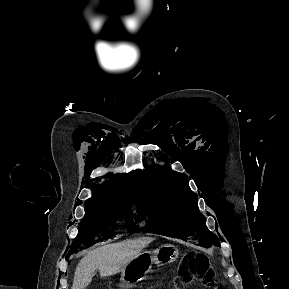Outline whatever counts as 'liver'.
Segmentation results:
<instances>
[{"instance_id": "obj_1", "label": "liver", "mask_w": 289, "mask_h": 289, "mask_svg": "<svg viewBox=\"0 0 289 289\" xmlns=\"http://www.w3.org/2000/svg\"><path fill=\"white\" fill-rule=\"evenodd\" d=\"M152 241L153 238L125 240L91 251L78 263L71 289L88 286L96 269H99L101 277L120 272Z\"/></svg>"}]
</instances>
